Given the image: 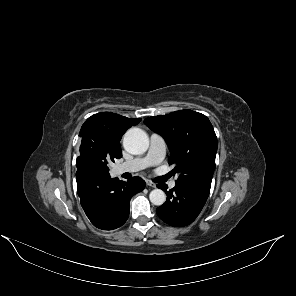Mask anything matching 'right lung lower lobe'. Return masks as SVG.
Listing matches in <instances>:
<instances>
[{
  "label": "right lung lower lobe",
  "instance_id": "98d812e1",
  "mask_svg": "<svg viewBox=\"0 0 296 296\" xmlns=\"http://www.w3.org/2000/svg\"><path fill=\"white\" fill-rule=\"evenodd\" d=\"M76 166L78 195L91 223L103 230L122 226L129 216L131 197L145 188V181L140 177L127 182L111 178L85 158L78 157Z\"/></svg>",
  "mask_w": 296,
  "mask_h": 296
}]
</instances>
